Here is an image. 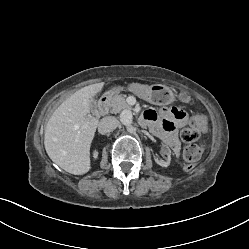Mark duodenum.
<instances>
[{"mask_svg":"<svg viewBox=\"0 0 249 249\" xmlns=\"http://www.w3.org/2000/svg\"><path fill=\"white\" fill-rule=\"evenodd\" d=\"M113 94L114 93L110 91L100 99L99 104H98V112L100 115H103L107 112L108 100H109L110 96Z\"/></svg>","mask_w":249,"mask_h":249,"instance_id":"1","label":"duodenum"}]
</instances>
